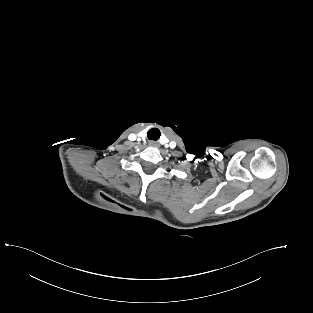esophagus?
<instances>
[{"mask_svg":"<svg viewBox=\"0 0 313 313\" xmlns=\"http://www.w3.org/2000/svg\"><path fill=\"white\" fill-rule=\"evenodd\" d=\"M149 145L152 146V147H157L158 143L155 142V141H149Z\"/></svg>","mask_w":313,"mask_h":313,"instance_id":"obj_1","label":"esophagus"}]
</instances>
